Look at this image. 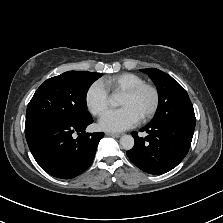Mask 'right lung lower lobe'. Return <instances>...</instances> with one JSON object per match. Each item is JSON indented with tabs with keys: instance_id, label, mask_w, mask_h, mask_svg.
Instances as JSON below:
<instances>
[{
	"instance_id": "98d812e1",
	"label": "right lung lower lobe",
	"mask_w": 223,
	"mask_h": 223,
	"mask_svg": "<svg viewBox=\"0 0 223 223\" xmlns=\"http://www.w3.org/2000/svg\"><path fill=\"white\" fill-rule=\"evenodd\" d=\"M86 123L51 122L25 128L29 149L36 162L50 175L69 179L91 164L104 133H85ZM77 132L78 137L73 138ZM80 132V133H79Z\"/></svg>"
}]
</instances>
